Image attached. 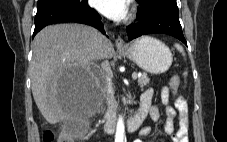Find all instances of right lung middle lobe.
<instances>
[{"mask_svg": "<svg viewBox=\"0 0 227 142\" xmlns=\"http://www.w3.org/2000/svg\"><path fill=\"white\" fill-rule=\"evenodd\" d=\"M80 2L81 0H38L37 10L61 5H76Z\"/></svg>", "mask_w": 227, "mask_h": 142, "instance_id": "dd1d6c3e", "label": "right lung middle lobe"}]
</instances>
